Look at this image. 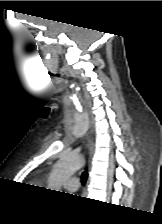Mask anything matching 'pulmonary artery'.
<instances>
[{"label":"pulmonary artery","mask_w":162,"mask_h":224,"mask_svg":"<svg viewBox=\"0 0 162 224\" xmlns=\"http://www.w3.org/2000/svg\"><path fill=\"white\" fill-rule=\"evenodd\" d=\"M79 186H80V180L76 176L71 177L66 183V188L70 191H76L79 188Z\"/></svg>","instance_id":"1"}]
</instances>
